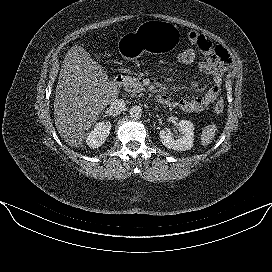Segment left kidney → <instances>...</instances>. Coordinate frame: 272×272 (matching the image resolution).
Segmentation results:
<instances>
[{
    "instance_id": "1",
    "label": "left kidney",
    "mask_w": 272,
    "mask_h": 272,
    "mask_svg": "<svg viewBox=\"0 0 272 272\" xmlns=\"http://www.w3.org/2000/svg\"><path fill=\"white\" fill-rule=\"evenodd\" d=\"M179 127L183 133V136L177 140L172 137L170 129L165 128L160 131L159 136L162 144L173 150L186 151L192 148L194 141V125L188 120H181Z\"/></svg>"
}]
</instances>
